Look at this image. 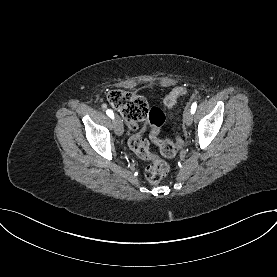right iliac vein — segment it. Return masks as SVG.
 Returning <instances> with one entry per match:
<instances>
[{"label": "right iliac vein", "mask_w": 277, "mask_h": 277, "mask_svg": "<svg viewBox=\"0 0 277 277\" xmlns=\"http://www.w3.org/2000/svg\"><path fill=\"white\" fill-rule=\"evenodd\" d=\"M114 130L118 136L123 134V124L119 116H116L114 119Z\"/></svg>", "instance_id": "1"}]
</instances>
